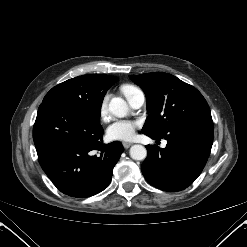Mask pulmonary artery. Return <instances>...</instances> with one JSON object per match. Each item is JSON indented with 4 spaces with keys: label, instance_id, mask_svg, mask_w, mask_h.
Listing matches in <instances>:
<instances>
[{
    "label": "pulmonary artery",
    "instance_id": "obj_1",
    "mask_svg": "<svg viewBox=\"0 0 247 247\" xmlns=\"http://www.w3.org/2000/svg\"><path fill=\"white\" fill-rule=\"evenodd\" d=\"M130 106L134 109L140 108L144 102H145V95L141 90H137L133 92L128 98H127ZM166 145V142H163V146Z\"/></svg>",
    "mask_w": 247,
    "mask_h": 247
}]
</instances>
